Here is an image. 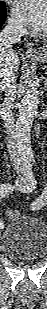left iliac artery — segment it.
I'll return each instance as SVG.
<instances>
[{"label":"left iliac artery","mask_w":47,"mask_h":309,"mask_svg":"<svg viewBox=\"0 0 47 309\" xmlns=\"http://www.w3.org/2000/svg\"><path fill=\"white\" fill-rule=\"evenodd\" d=\"M47 196L44 194L40 198H38L34 203H32V209L37 210L43 207L47 202Z\"/></svg>","instance_id":"obj_1"}]
</instances>
